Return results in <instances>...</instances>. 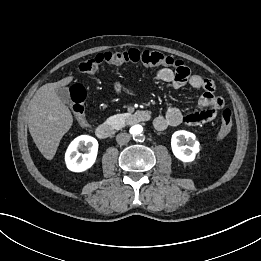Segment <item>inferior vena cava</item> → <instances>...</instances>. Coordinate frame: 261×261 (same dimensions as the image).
Here are the masks:
<instances>
[{
  "label": "inferior vena cava",
  "mask_w": 261,
  "mask_h": 261,
  "mask_svg": "<svg viewBox=\"0 0 261 261\" xmlns=\"http://www.w3.org/2000/svg\"><path fill=\"white\" fill-rule=\"evenodd\" d=\"M131 136L128 133H119L116 136V141L119 145H125L130 141Z\"/></svg>",
  "instance_id": "602c4592"
}]
</instances>
